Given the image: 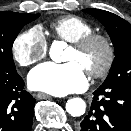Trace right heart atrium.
Here are the masks:
<instances>
[{
  "mask_svg": "<svg viewBox=\"0 0 131 131\" xmlns=\"http://www.w3.org/2000/svg\"><path fill=\"white\" fill-rule=\"evenodd\" d=\"M48 43L40 27L34 26L20 33L12 43V54L22 67L31 66L44 59Z\"/></svg>",
  "mask_w": 131,
  "mask_h": 131,
  "instance_id": "obj_1",
  "label": "right heart atrium"
}]
</instances>
